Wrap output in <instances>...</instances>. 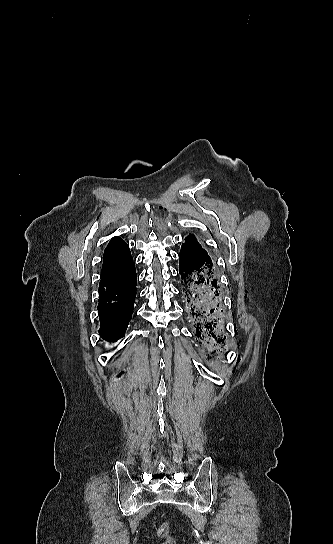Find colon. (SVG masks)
Instances as JSON below:
<instances>
[{
    "mask_svg": "<svg viewBox=\"0 0 333 544\" xmlns=\"http://www.w3.org/2000/svg\"><path fill=\"white\" fill-rule=\"evenodd\" d=\"M158 536L164 540V544H176L174 539L169 535V524L163 523L158 531Z\"/></svg>",
    "mask_w": 333,
    "mask_h": 544,
    "instance_id": "obj_1",
    "label": "colon"
}]
</instances>
